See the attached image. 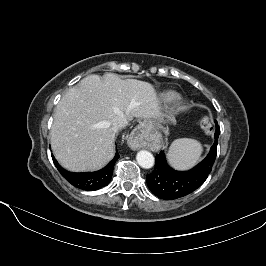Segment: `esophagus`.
I'll list each match as a JSON object with an SVG mask.
<instances>
[{"instance_id":"1","label":"esophagus","mask_w":266,"mask_h":266,"mask_svg":"<svg viewBox=\"0 0 266 266\" xmlns=\"http://www.w3.org/2000/svg\"><path fill=\"white\" fill-rule=\"evenodd\" d=\"M146 123L139 124L128 136L127 144L132 150H138L143 147L146 137Z\"/></svg>"}]
</instances>
